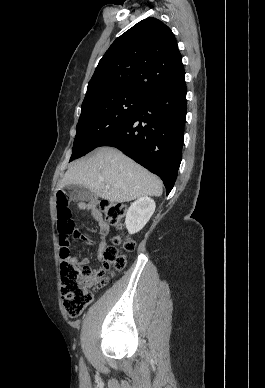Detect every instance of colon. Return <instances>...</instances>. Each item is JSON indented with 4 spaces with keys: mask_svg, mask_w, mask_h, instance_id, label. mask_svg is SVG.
I'll list each match as a JSON object with an SVG mask.
<instances>
[{
    "mask_svg": "<svg viewBox=\"0 0 265 388\" xmlns=\"http://www.w3.org/2000/svg\"><path fill=\"white\" fill-rule=\"evenodd\" d=\"M57 219L59 231V256L61 259V294L63 307L72 317L81 314L83 309L92 301V291L101 288L108 282L109 276L123 269L126 258L114 246H107L103 253V267L98 271H91L70 259V238L72 235L82 238L76 231L71 217L70 201L66 193L59 191L56 198ZM98 205L104 214L105 220L117 227H121L126 214V206L108 200H100ZM114 243H123L126 250L134 248L130 238L115 237Z\"/></svg>",
    "mask_w": 265,
    "mask_h": 388,
    "instance_id": "1",
    "label": "colon"
}]
</instances>
